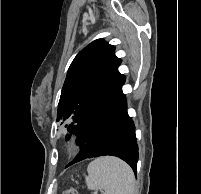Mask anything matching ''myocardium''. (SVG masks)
I'll list each match as a JSON object with an SVG mask.
<instances>
[{"instance_id": "f54148a6", "label": "myocardium", "mask_w": 201, "mask_h": 194, "mask_svg": "<svg viewBox=\"0 0 201 194\" xmlns=\"http://www.w3.org/2000/svg\"><path fill=\"white\" fill-rule=\"evenodd\" d=\"M84 145V141L82 138L76 137L72 138L66 145L67 152H77L79 151Z\"/></svg>"}]
</instances>
